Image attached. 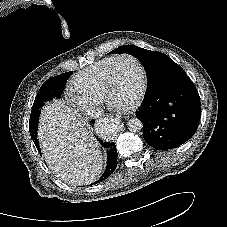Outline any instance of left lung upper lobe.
Instances as JSON below:
<instances>
[{"instance_id": "5c2ea615", "label": "left lung upper lobe", "mask_w": 227, "mask_h": 227, "mask_svg": "<svg viewBox=\"0 0 227 227\" xmlns=\"http://www.w3.org/2000/svg\"><path fill=\"white\" fill-rule=\"evenodd\" d=\"M110 53H128L140 60L146 70L149 91L154 90L169 80L186 75L178 64L161 52L124 45Z\"/></svg>"}]
</instances>
